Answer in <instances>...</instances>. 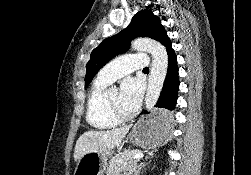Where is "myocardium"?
<instances>
[{
    "instance_id": "1",
    "label": "myocardium",
    "mask_w": 251,
    "mask_h": 175,
    "mask_svg": "<svg viewBox=\"0 0 251 175\" xmlns=\"http://www.w3.org/2000/svg\"><path fill=\"white\" fill-rule=\"evenodd\" d=\"M105 106H106L108 113L110 115H112L113 117H115L116 119H121V118L126 117V115L123 112H117V111L113 110V108L111 107V105L109 103L107 93L105 95Z\"/></svg>"
}]
</instances>
